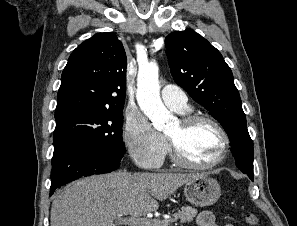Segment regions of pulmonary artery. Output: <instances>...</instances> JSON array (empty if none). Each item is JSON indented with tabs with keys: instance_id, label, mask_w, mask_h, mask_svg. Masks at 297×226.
I'll use <instances>...</instances> for the list:
<instances>
[{
	"instance_id": "e3ab8cb5",
	"label": "pulmonary artery",
	"mask_w": 297,
	"mask_h": 226,
	"mask_svg": "<svg viewBox=\"0 0 297 226\" xmlns=\"http://www.w3.org/2000/svg\"><path fill=\"white\" fill-rule=\"evenodd\" d=\"M161 98L166 106L181 112L189 109L186 93L178 86L165 85L161 89Z\"/></svg>"
}]
</instances>
